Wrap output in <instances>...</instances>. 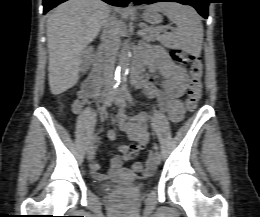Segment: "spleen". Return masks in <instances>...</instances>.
Instances as JSON below:
<instances>
[{
    "label": "spleen",
    "mask_w": 260,
    "mask_h": 217,
    "mask_svg": "<svg viewBox=\"0 0 260 217\" xmlns=\"http://www.w3.org/2000/svg\"><path fill=\"white\" fill-rule=\"evenodd\" d=\"M164 13L177 28L172 33L161 36V42L169 48H178L188 53L198 54L203 41V26L197 12L179 3H157L151 6Z\"/></svg>",
    "instance_id": "1"
}]
</instances>
